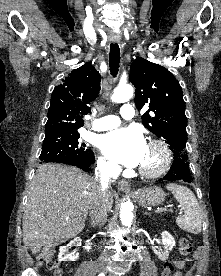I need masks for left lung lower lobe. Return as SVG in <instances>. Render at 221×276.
Here are the masks:
<instances>
[{
	"mask_svg": "<svg viewBox=\"0 0 221 276\" xmlns=\"http://www.w3.org/2000/svg\"><path fill=\"white\" fill-rule=\"evenodd\" d=\"M163 180H183L186 182H191L192 177L190 175V169L187 160L183 158H175L169 172L163 178L159 179V181Z\"/></svg>",
	"mask_w": 221,
	"mask_h": 276,
	"instance_id": "left-lung-lower-lobe-1",
	"label": "left lung lower lobe"
}]
</instances>
